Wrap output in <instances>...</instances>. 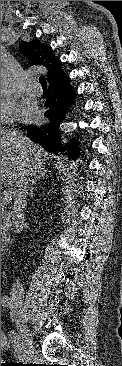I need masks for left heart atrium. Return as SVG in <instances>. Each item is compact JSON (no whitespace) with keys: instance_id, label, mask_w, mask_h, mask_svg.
Instances as JSON below:
<instances>
[{"instance_id":"left-heart-atrium-1","label":"left heart atrium","mask_w":122,"mask_h":366,"mask_svg":"<svg viewBox=\"0 0 122 366\" xmlns=\"http://www.w3.org/2000/svg\"><path fill=\"white\" fill-rule=\"evenodd\" d=\"M33 106L27 102H23L19 108V115L23 120H30L35 115Z\"/></svg>"}]
</instances>
